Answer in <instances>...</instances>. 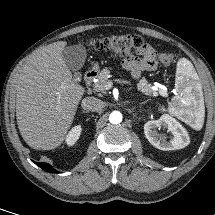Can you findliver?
Instances as JSON below:
<instances>
[{
    "label": "liver",
    "instance_id": "liver-1",
    "mask_svg": "<svg viewBox=\"0 0 215 215\" xmlns=\"http://www.w3.org/2000/svg\"><path fill=\"white\" fill-rule=\"evenodd\" d=\"M66 45L58 41L36 50L15 77L17 125L33 149L63 143L85 92L62 58Z\"/></svg>",
    "mask_w": 215,
    "mask_h": 215
}]
</instances>
